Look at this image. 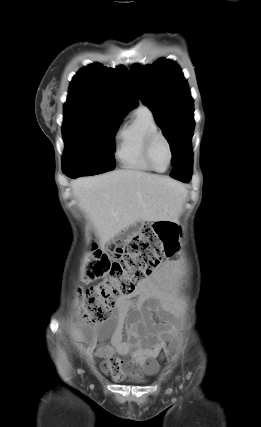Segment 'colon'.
Wrapping results in <instances>:
<instances>
[{"mask_svg":"<svg viewBox=\"0 0 261 427\" xmlns=\"http://www.w3.org/2000/svg\"><path fill=\"white\" fill-rule=\"evenodd\" d=\"M179 231L171 222H156L144 226L140 233L130 239L118 261L108 263L107 255L97 248L93 254L97 259V272H108L106 282L91 287L84 294V318L88 322H101L108 316L109 308L119 296L130 295L136 283L149 275L166 258L179 250Z\"/></svg>","mask_w":261,"mask_h":427,"instance_id":"1","label":"colon"}]
</instances>
